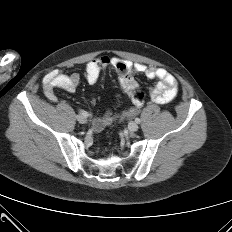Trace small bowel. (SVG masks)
<instances>
[{
  "instance_id": "c3829d8e",
  "label": "small bowel",
  "mask_w": 232,
  "mask_h": 232,
  "mask_svg": "<svg viewBox=\"0 0 232 232\" xmlns=\"http://www.w3.org/2000/svg\"><path fill=\"white\" fill-rule=\"evenodd\" d=\"M107 67H112L117 72L120 88L131 98L138 89V83L135 79L136 74L158 80V83L150 90V98L157 104L171 102L178 93L177 80L166 69L146 66L142 63H132L117 57L101 56L92 60L87 64L83 76L89 84H95L101 71ZM80 80L81 75L79 73L65 74L59 70H52L44 77L43 92L48 100L56 102L57 96L54 92L56 88L73 92ZM133 110L135 114L137 109L134 108ZM118 117V115L108 111L103 116L94 119L93 129L97 132L101 131L104 127L116 121Z\"/></svg>"
}]
</instances>
